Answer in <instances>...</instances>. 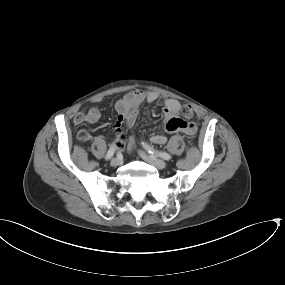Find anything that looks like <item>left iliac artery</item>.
Listing matches in <instances>:
<instances>
[{"label": "left iliac artery", "instance_id": "obj_1", "mask_svg": "<svg viewBox=\"0 0 285 285\" xmlns=\"http://www.w3.org/2000/svg\"><path fill=\"white\" fill-rule=\"evenodd\" d=\"M144 147L145 149L150 153V154H155L161 158H163L164 160H170L171 159V155L166 153V152H162V151H158V150H155L153 147L147 145V144H144Z\"/></svg>", "mask_w": 285, "mask_h": 285}]
</instances>
